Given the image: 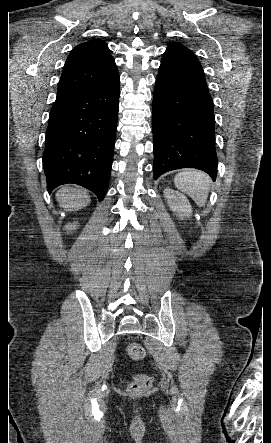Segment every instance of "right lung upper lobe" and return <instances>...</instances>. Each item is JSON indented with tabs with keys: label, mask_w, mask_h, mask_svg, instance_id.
<instances>
[{
	"label": "right lung upper lobe",
	"mask_w": 271,
	"mask_h": 443,
	"mask_svg": "<svg viewBox=\"0 0 271 443\" xmlns=\"http://www.w3.org/2000/svg\"><path fill=\"white\" fill-rule=\"evenodd\" d=\"M118 78L117 66L107 44L102 40L87 41L70 52L57 94L107 85Z\"/></svg>",
	"instance_id": "cb5924a9"
}]
</instances>
